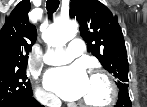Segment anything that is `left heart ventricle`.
I'll return each instance as SVG.
<instances>
[{"instance_id": "b2bd125f", "label": "left heart ventricle", "mask_w": 147, "mask_h": 107, "mask_svg": "<svg viewBox=\"0 0 147 107\" xmlns=\"http://www.w3.org/2000/svg\"><path fill=\"white\" fill-rule=\"evenodd\" d=\"M107 87L102 79H89L86 93L81 98V101L91 103H99L107 98Z\"/></svg>"}]
</instances>
